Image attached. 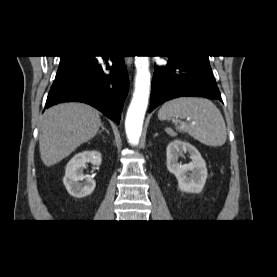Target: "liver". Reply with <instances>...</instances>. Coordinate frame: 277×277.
I'll list each match as a JSON object with an SVG mask.
<instances>
[{
  "mask_svg": "<svg viewBox=\"0 0 277 277\" xmlns=\"http://www.w3.org/2000/svg\"><path fill=\"white\" fill-rule=\"evenodd\" d=\"M101 126L99 113L82 103H65L45 111L40 121L42 162L52 166L92 139Z\"/></svg>",
  "mask_w": 277,
  "mask_h": 277,
  "instance_id": "1",
  "label": "liver"
}]
</instances>
